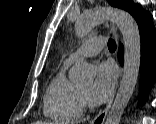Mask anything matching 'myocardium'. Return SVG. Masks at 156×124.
<instances>
[{"label": "myocardium", "instance_id": "obj_1", "mask_svg": "<svg viewBox=\"0 0 156 124\" xmlns=\"http://www.w3.org/2000/svg\"><path fill=\"white\" fill-rule=\"evenodd\" d=\"M81 94L86 99L87 102H89L90 104H92L88 92H85V91L81 90Z\"/></svg>", "mask_w": 156, "mask_h": 124}]
</instances>
